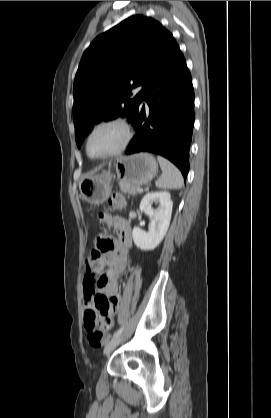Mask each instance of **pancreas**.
<instances>
[{
  "mask_svg": "<svg viewBox=\"0 0 271 418\" xmlns=\"http://www.w3.org/2000/svg\"><path fill=\"white\" fill-rule=\"evenodd\" d=\"M119 186H120L121 191L124 192V193H128V194H131V195H135V194L138 193L137 190H138L139 186H137L135 184L121 181L119 183Z\"/></svg>",
  "mask_w": 271,
  "mask_h": 418,
  "instance_id": "obj_1",
  "label": "pancreas"
}]
</instances>
